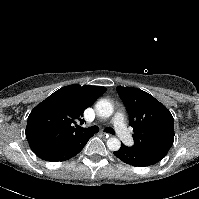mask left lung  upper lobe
Here are the masks:
<instances>
[{
	"label": "left lung upper lobe",
	"instance_id": "5c2ea615",
	"mask_svg": "<svg viewBox=\"0 0 199 199\" xmlns=\"http://www.w3.org/2000/svg\"><path fill=\"white\" fill-rule=\"evenodd\" d=\"M133 127V147L164 158L174 142V119L170 111L149 93L117 87Z\"/></svg>",
	"mask_w": 199,
	"mask_h": 199
}]
</instances>
